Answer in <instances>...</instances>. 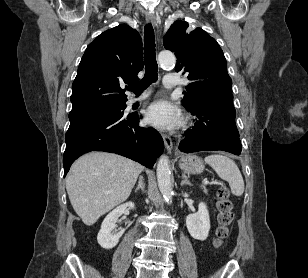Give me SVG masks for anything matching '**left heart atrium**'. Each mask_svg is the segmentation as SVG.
<instances>
[{
	"label": "left heart atrium",
	"instance_id": "39dd6f15",
	"mask_svg": "<svg viewBox=\"0 0 308 278\" xmlns=\"http://www.w3.org/2000/svg\"><path fill=\"white\" fill-rule=\"evenodd\" d=\"M180 119L179 109L164 99L154 101L146 110L147 122L160 129L174 128Z\"/></svg>",
	"mask_w": 308,
	"mask_h": 278
}]
</instances>
